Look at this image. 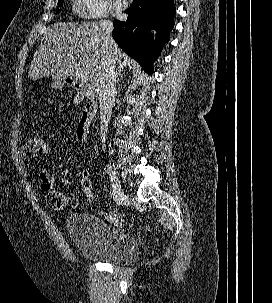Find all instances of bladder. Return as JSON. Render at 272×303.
Here are the masks:
<instances>
[{
    "label": "bladder",
    "mask_w": 272,
    "mask_h": 303,
    "mask_svg": "<svg viewBox=\"0 0 272 303\" xmlns=\"http://www.w3.org/2000/svg\"><path fill=\"white\" fill-rule=\"evenodd\" d=\"M66 229L77 251L89 260L124 264L139 254V246L129 233L94 214L70 213Z\"/></svg>",
    "instance_id": "obj_1"
}]
</instances>
